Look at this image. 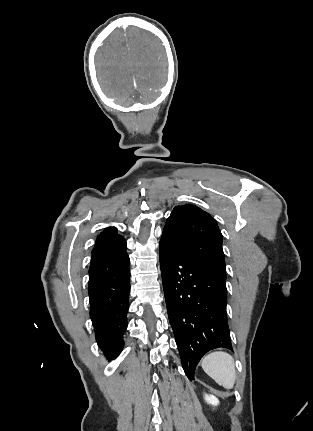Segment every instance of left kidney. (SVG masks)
<instances>
[{"label":"left kidney","mask_w":313,"mask_h":431,"mask_svg":"<svg viewBox=\"0 0 313 431\" xmlns=\"http://www.w3.org/2000/svg\"><path fill=\"white\" fill-rule=\"evenodd\" d=\"M205 400L208 404H211L213 406H217L219 404L218 398H216L214 395H205Z\"/></svg>","instance_id":"1"}]
</instances>
